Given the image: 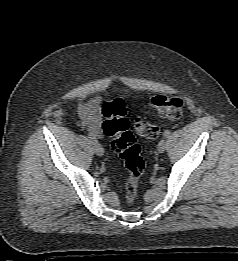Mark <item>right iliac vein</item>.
I'll use <instances>...</instances> for the list:
<instances>
[{
	"label": "right iliac vein",
	"mask_w": 238,
	"mask_h": 261,
	"mask_svg": "<svg viewBox=\"0 0 238 261\" xmlns=\"http://www.w3.org/2000/svg\"><path fill=\"white\" fill-rule=\"evenodd\" d=\"M93 148H94V152L96 153V155L102 156L104 154V149L100 143H98V142L94 143Z\"/></svg>",
	"instance_id": "obj_1"
}]
</instances>
